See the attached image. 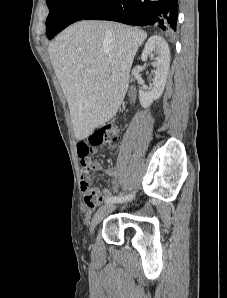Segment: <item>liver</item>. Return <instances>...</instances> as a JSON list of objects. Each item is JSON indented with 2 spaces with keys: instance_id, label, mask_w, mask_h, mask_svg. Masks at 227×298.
Returning a JSON list of instances; mask_svg holds the SVG:
<instances>
[{
  "instance_id": "6515ba94",
  "label": "liver",
  "mask_w": 227,
  "mask_h": 298,
  "mask_svg": "<svg viewBox=\"0 0 227 298\" xmlns=\"http://www.w3.org/2000/svg\"><path fill=\"white\" fill-rule=\"evenodd\" d=\"M146 37L139 28L82 20L64 29L50 44L49 56L77 140L87 138L116 115L128 90L134 57Z\"/></svg>"
}]
</instances>
